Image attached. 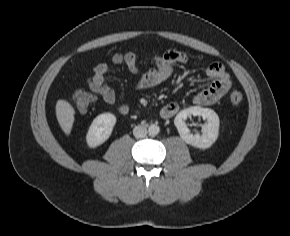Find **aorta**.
<instances>
[{"label":"aorta","instance_id":"1","mask_svg":"<svg viewBox=\"0 0 290 236\" xmlns=\"http://www.w3.org/2000/svg\"><path fill=\"white\" fill-rule=\"evenodd\" d=\"M148 132H149L150 135L155 136V135H157L160 132V128H159L158 125L152 124L148 128Z\"/></svg>","mask_w":290,"mask_h":236}]
</instances>
